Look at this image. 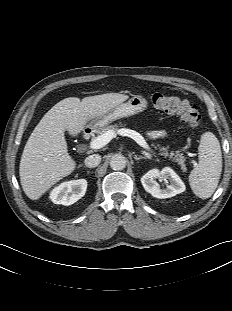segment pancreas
<instances>
[{
  "label": "pancreas",
  "mask_w": 232,
  "mask_h": 311,
  "mask_svg": "<svg viewBox=\"0 0 232 311\" xmlns=\"http://www.w3.org/2000/svg\"><path fill=\"white\" fill-rule=\"evenodd\" d=\"M119 125H121V123ZM119 125L118 124L108 125V126L104 127L103 129H101L100 131H98V134L102 135L109 130L117 131ZM153 146L155 149H158L160 151V155L164 156L165 158L166 157L172 158L175 162H178V164L184 165L185 158H184L183 154H181L179 152L168 153V150L166 147H161L159 145L156 146L154 144H153Z\"/></svg>",
  "instance_id": "obj_1"
}]
</instances>
